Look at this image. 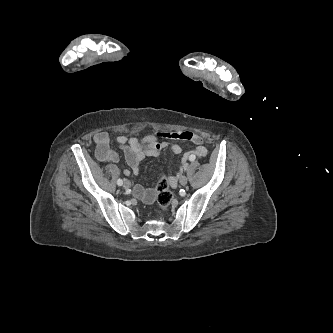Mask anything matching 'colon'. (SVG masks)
Segmentation results:
<instances>
[{
    "mask_svg": "<svg viewBox=\"0 0 333 333\" xmlns=\"http://www.w3.org/2000/svg\"><path fill=\"white\" fill-rule=\"evenodd\" d=\"M157 203L163 210L170 206L173 201V193L169 190L168 179L163 176L156 184Z\"/></svg>",
    "mask_w": 333,
    "mask_h": 333,
    "instance_id": "colon-1",
    "label": "colon"
}]
</instances>
